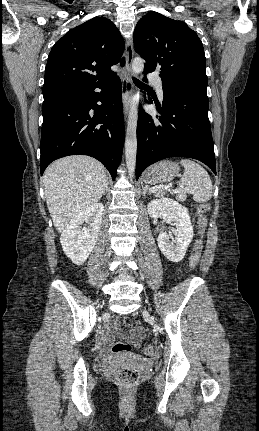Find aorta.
Returning a JSON list of instances; mask_svg holds the SVG:
<instances>
[{"instance_id": "aorta-1", "label": "aorta", "mask_w": 259, "mask_h": 431, "mask_svg": "<svg viewBox=\"0 0 259 431\" xmlns=\"http://www.w3.org/2000/svg\"><path fill=\"white\" fill-rule=\"evenodd\" d=\"M144 69V61L140 57H136L132 62V72L136 76L141 73ZM137 104L132 103L128 115V123L126 130V140H125V158L126 165L128 168L129 176L132 177L135 172L136 166V153H137Z\"/></svg>"}]
</instances>
